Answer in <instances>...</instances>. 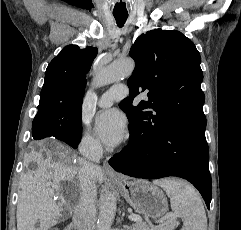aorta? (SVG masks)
<instances>
[{"mask_svg":"<svg viewBox=\"0 0 241 230\" xmlns=\"http://www.w3.org/2000/svg\"><path fill=\"white\" fill-rule=\"evenodd\" d=\"M135 67L132 59L116 60L106 67L101 68L95 79L96 87L118 82L129 77ZM116 196L112 192H107L100 204L99 216L97 220V230H112L111 226L116 215Z\"/></svg>","mask_w":241,"mask_h":230,"instance_id":"aorta-1","label":"aorta"}]
</instances>
